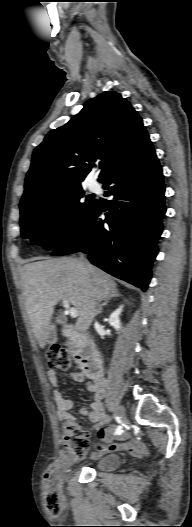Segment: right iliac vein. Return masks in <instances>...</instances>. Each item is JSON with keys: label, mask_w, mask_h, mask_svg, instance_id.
Returning a JSON list of instances; mask_svg holds the SVG:
<instances>
[{"label": "right iliac vein", "mask_w": 192, "mask_h": 527, "mask_svg": "<svg viewBox=\"0 0 192 527\" xmlns=\"http://www.w3.org/2000/svg\"><path fill=\"white\" fill-rule=\"evenodd\" d=\"M116 413L120 418H123L125 416V409L122 406L117 407Z\"/></svg>", "instance_id": "63e3f726"}]
</instances>
